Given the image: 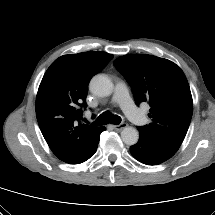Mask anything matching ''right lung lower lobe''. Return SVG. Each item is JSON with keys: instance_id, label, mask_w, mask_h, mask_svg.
I'll return each mask as SVG.
<instances>
[{"instance_id": "1", "label": "right lung lower lobe", "mask_w": 215, "mask_h": 215, "mask_svg": "<svg viewBox=\"0 0 215 215\" xmlns=\"http://www.w3.org/2000/svg\"><path fill=\"white\" fill-rule=\"evenodd\" d=\"M105 130V128H103L102 132ZM100 139V138H99ZM99 142V140H98ZM98 142L97 144L95 145V147L93 148L92 152L89 154L88 158L86 160H88L95 152H96V149H97V146H98ZM85 160V161H86Z\"/></svg>"}]
</instances>
